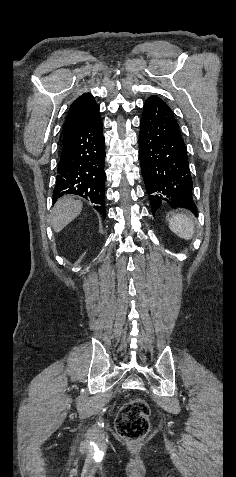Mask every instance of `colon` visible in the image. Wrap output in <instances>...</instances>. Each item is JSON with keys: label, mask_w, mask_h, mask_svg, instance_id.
I'll use <instances>...</instances> for the list:
<instances>
[{"label": "colon", "mask_w": 236, "mask_h": 477, "mask_svg": "<svg viewBox=\"0 0 236 477\" xmlns=\"http://www.w3.org/2000/svg\"><path fill=\"white\" fill-rule=\"evenodd\" d=\"M150 409L139 398L125 403L116 418L115 427L118 435L126 441L142 440L149 432Z\"/></svg>", "instance_id": "5ec220e1"}]
</instances>
